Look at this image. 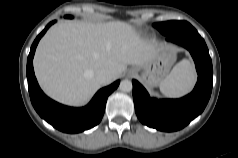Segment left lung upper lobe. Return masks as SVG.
<instances>
[{"label":"left lung upper lobe","mask_w":238,"mask_h":158,"mask_svg":"<svg viewBox=\"0 0 238 158\" xmlns=\"http://www.w3.org/2000/svg\"><path fill=\"white\" fill-rule=\"evenodd\" d=\"M189 23L186 21H167L161 23H155L153 26L156 27L162 34L168 35L173 31L188 26Z\"/></svg>","instance_id":"obj_1"}]
</instances>
